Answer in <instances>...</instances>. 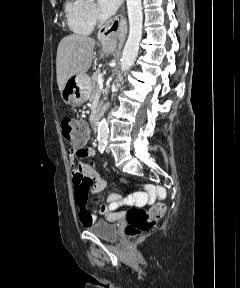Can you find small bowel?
Returning a JSON list of instances; mask_svg holds the SVG:
<instances>
[{"label":"small bowel","mask_w":240,"mask_h":288,"mask_svg":"<svg viewBox=\"0 0 240 288\" xmlns=\"http://www.w3.org/2000/svg\"><path fill=\"white\" fill-rule=\"evenodd\" d=\"M87 139L88 133L83 141L72 143L71 149L68 150L70 163H77L72 172L74 197L79 210V219L84 226L91 225L97 219V213L88 206L89 196L98 198L106 187V182L100 177L95 166L89 161H80L88 160L95 155V150L86 146ZM131 201V198H123L115 192L108 197L107 203L103 204L98 212L105 215L108 221H117L124 215L120 208L130 204Z\"/></svg>","instance_id":"c3829d8e"}]
</instances>
